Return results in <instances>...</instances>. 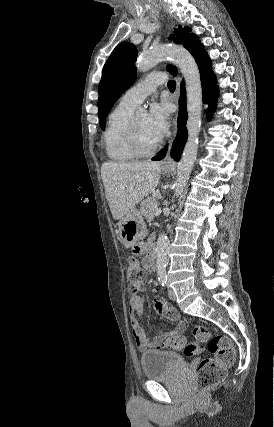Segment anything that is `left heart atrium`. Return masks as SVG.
Instances as JSON below:
<instances>
[{"label":"left heart atrium","instance_id":"39dd6f15","mask_svg":"<svg viewBox=\"0 0 274 427\" xmlns=\"http://www.w3.org/2000/svg\"><path fill=\"white\" fill-rule=\"evenodd\" d=\"M147 125L151 134L162 139L169 129V111L165 104H153L147 115Z\"/></svg>","mask_w":274,"mask_h":427}]
</instances>
